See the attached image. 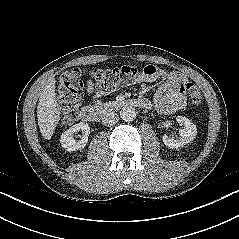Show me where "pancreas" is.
<instances>
[{"mask_svg":"<svg viewBox=\"0 0 239 239\" xmlns=\"http://www.w3.org/2000/svg\"><path fill=\"white\" fill-rule=\"evenodd\" d=\"M109 104L108 103H102L101 101H97V103L95 104V107L98 109H103L105 107H108Z\"/></svg>","mask_w":239,"mask_h":239,"instance_id":"cf45deb5","label":"pancreas"}]
</instances>
